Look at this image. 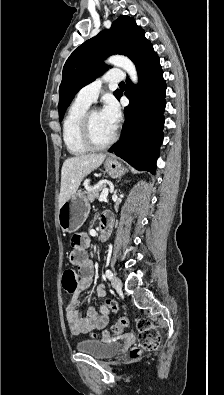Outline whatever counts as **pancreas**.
Returning a JSON list of instances; mask_svg holds the SVG:
<instances>
[{"instance_id":"1","label":"pancreas","mask_w":224,"mask_h":395,"mask_svg":"<svg viewBox=\"0 0 224 395\" xmlns=\"http://www.w3.org/2000/svg\"><path fill=\"white\" fill-rule=\"evenodd\" d=\"M105 188V186H95L87 191V198L89 202H94L96 198L99 197L100 192Z\"/></svg>"}]
</instances>
